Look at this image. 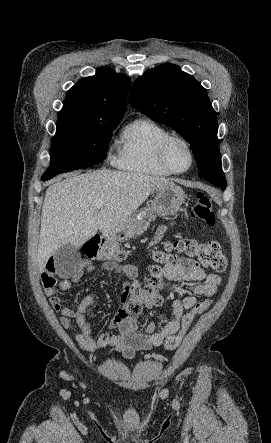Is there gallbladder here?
Listing matches in <instances>:
<instances>
[{"label": "gallbladder", "instance_id": "obj_1", "mask_svg": "<svg viewBox=\"0 0 271 443\" xmlns=\"http://www.w3.org/2000/svg\"><path fill=\"white\" fill-rule=\"evenodd\" d=\"M79 251H76L73 245H63L59 251L55 253V273L59 278H70L71 273H78V269H82V260H79Z\"/></svg>", "mask_w": 271, "mask_h": 443}]
</instances>
